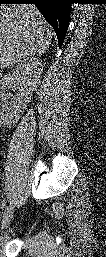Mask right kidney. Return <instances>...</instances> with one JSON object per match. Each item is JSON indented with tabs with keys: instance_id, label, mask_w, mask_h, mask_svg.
Returning <instances> with one entry per match:
<instances>
[{
	"instance_id": "right-kidney-1",
	"label": "right kidney",
	"mask_w": 106,
	"mask_h": 257,
	"mask_svg": "<svg viewBox=\"0 0 106 257\" xmlns=\"http://www.w3.org/2000/svg\"><path fill=\"white\" fill-rule=\"evenodd\" d=\"M42 64L35 57L24 59L15 66V69L6 74L0 82V107L2 112L13 114L15 120L19 118L28 102V99L40 83ZM20 85L19 93L9 102V90Z\"/></svg>"
}]
</instances>
